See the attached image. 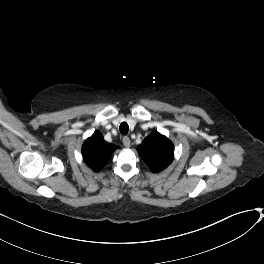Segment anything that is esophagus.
Here are the masks:
<instances>
[{"mask_svg": "<svg viewBox=\"0 0 264 264\" xmlns=\"http://www.w3.org/2000/svg\"><path fill=\"white\" fill-rule=\"evenodd\" d=\"M122 142L126 148H129L131 146V141L128 136H124L122 138Z\"/></svg>", "mask_w": 264, "mask_h": 264, "instance_id": "34e87169", "label": "esophagus"}]
</instances>
